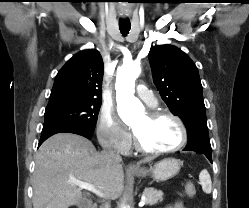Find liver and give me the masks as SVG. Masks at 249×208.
<instances>
[{"instance_id":"6515ba94","label":"liver","mask_w":249,"mask_h":208,"mask_svg":"<svg viewBox=\"0 0 249 208\" xmlns=\"http://www.w3.org/2000/svg\"><path fill=\"white\" fill-rule=\"evenodd\" d=\"M152 157L145 158L147 163ZM95 186L110 199L123 191L124 173L120 162L109 163L88 139L72 133L48 138L35 157L33 208H69L85 200L86 193L72 181Z\"/></svg>"}]
</instances>
